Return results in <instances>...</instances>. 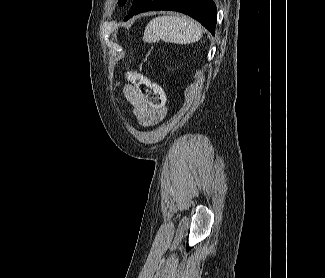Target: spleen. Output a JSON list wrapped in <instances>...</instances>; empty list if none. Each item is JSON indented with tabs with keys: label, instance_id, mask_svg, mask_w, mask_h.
Returning <instances> with one entry per match:
<instances>
[{
	"label": "spleen",
	"instance_id": "1",
	"mask_svg": "<svg viewBox=\"0 0 325 278\" xmlns=\"http://www.w3.org/2000/svg\"><path fill=\"white\" fill-rule=\"evenodd\" d=\"M203 35L201 27L188 17L159 16L152 19L145 28L144 41L163 40L174 44H190Z\"/></svg>",
	"mask_w": 325,
	"mask_h": 278
}]
</instances>
